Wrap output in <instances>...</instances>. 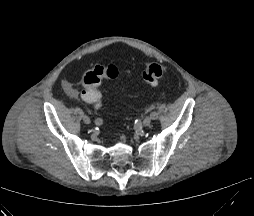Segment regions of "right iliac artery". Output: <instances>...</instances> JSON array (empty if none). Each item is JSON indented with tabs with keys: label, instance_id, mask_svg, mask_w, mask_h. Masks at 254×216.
<instances>
[{
	"label": "right iliac artery",
	"instance_id": "1",
	"mask_svg": "<svg viewBox=\"0 0 254 216\" xmlns=\"http://www.w3.org/2000/svg\"><path fill=\"white\" fill-rule=\"evenodd\" d=\"M102 119L101 118H96L95 120H94V123L96 124V125H101L102 124Z\"/></svg>",
	"mask_w": 254,
	"mask_h": 216
}]
</instances>
